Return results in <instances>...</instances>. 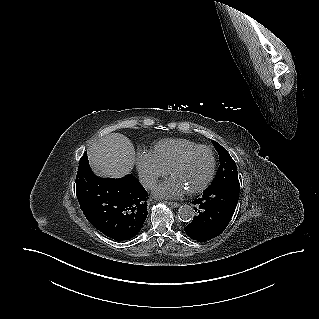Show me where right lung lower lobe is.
Returning <instances> with one entry per match:
<instances>
[{
  "label": "right lung lower lobe",
  "mask_w": 319,
  "mask_h": 319,
  "mask_svg": "<svg viewBox=\"0 0 319 319\" xmlns=\"http://www.w3.org/2000/svg\"><path fill=\"white\" fill-rule=\"evenodd\" d=\"M76 195L87 220L106 236L130 240L147 217L148 193L133 175L102 179L89 166L86 152L76 176Z\"/></svg>",
  "instance_id": "98d812e1"
}]
</instances>
